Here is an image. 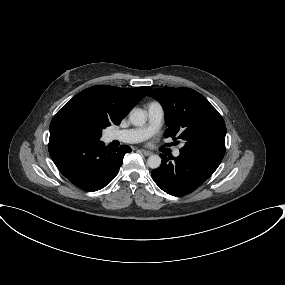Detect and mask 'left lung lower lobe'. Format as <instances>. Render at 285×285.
<instances>
[{
  "instance_id": "0a47b994",
  "label": "left lung lower lobe",
  "mask_w": 285,
  "mask_h": 285,
  "mask_svg": "<svg viewBox=\"0 0 285 285\" xmlns=\"http://www.w3.org/2000/svg\"><path fill=\"white\" fill-rule=\"evenodd\" d=\"M160 157L162 165L153 171L152 178L163 191L178 197L197 189L222 161L214 156L183 151L174 159L163 154Z\"/></svg>"
}]
</instances>
